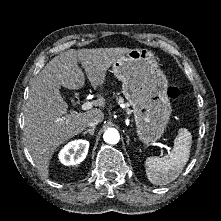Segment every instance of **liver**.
Returning <instances> with one entry per match:
<instances>
[{
	"label": "liver",
	"mask_w": 221,
	"mask_h": 221,
	"mask_svg": "<svg viewBox=\"0 0 221 221\" xmlns=\"http://www.w3.org/2000/svg\"><path fill=\"white\" fill-rule=\"evenodd\" d=\"M129 48L70 49L55 56L31 83L29 98L24 109V137L30 155L45 178L56 149L81 133L95 117L104 119L100 108L86 112L70 111L60 94V87L79 90L85 84V70L91 86L96 89L105 83L108 69ZM105 98L98 95L96 104L105 106Z\"/></svg>",
	"instance_id": "obj_1"
}]
</instances>
